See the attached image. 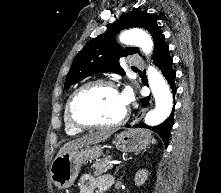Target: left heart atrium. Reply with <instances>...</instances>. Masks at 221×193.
Instances as JSON below:
<instances>
[{"mask_svg": "<svg viewBox=\"0 0 221 193\" xmlns=\"http://www.w3.org/2000/svg\"><path fill=\"white\" fill-rule=\"evenodd\" d=\"M121 99L124 105L127 107L129 103L132 101V93L129 89H125L123 92L120 93Z\"/></svg>", "mask_w": 221, "mask_h": 193, "instance_id": "39dd6f15", "label": "left heart atrium"}]
</instances>
